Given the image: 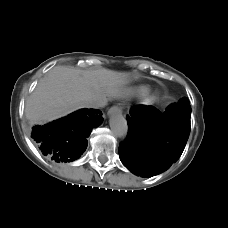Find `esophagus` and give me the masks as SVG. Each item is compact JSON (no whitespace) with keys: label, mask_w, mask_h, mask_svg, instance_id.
Here are the masks:
<instances>
[{"label":"esophagus","mask_w":228,"mask_h":228,"mask_svg":"<svg viewBox=\"0 0 228 228\" xmlns=\"http://www.w3.org/2000/svg\"><path fill=\"white\" fill-rule=\"evenodd\" d=\"M121 111H122L121 107H119V106H113V107H111V108L108 110L107 114H108L109 116H111V115H116V114H120Z\"/></svg>","instance_id":"esophagus-1"}]
</instances>
